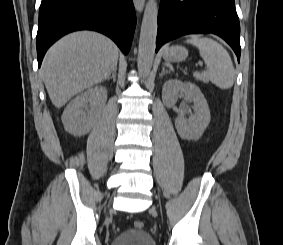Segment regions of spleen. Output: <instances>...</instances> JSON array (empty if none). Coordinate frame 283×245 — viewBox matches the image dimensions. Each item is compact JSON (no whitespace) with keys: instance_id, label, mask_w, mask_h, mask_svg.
<instances>
[{"instance_id":"spleen-1","label":"spleen","mask_w":283,"mask_h":245,"mask_svg":"<svg viewBox=\"0 0 283 245\" xmlns=\"http://www.w3.org/2000/svg\"><path fill=\"white\" fill-rule=\"evenodd\" d=\"M199 49L200 56L205 61L207 69L197 77L211 81L221 89H229L234 84L235 71L227 50L217 41L193 36L186 40Z\"/></svg>"}]
</instances>
